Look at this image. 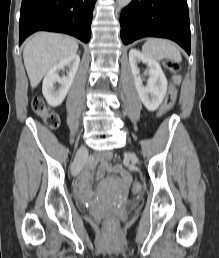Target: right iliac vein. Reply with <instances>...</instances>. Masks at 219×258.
Instances as JSON below:
<instances>
[{
  "mask_svg": "<svg viewBox=\"0 0 219 258\" xmlns=\"http://www.w3.org/2000/svg\"><path fill=\"white\" fill-rule=\"evenodd\" d=\"M87 154V149L85 146H81L76 154L75 160L72 164L71 171L73 175H76L83 165L85 164V157Z\"/></svg>",
  "mask_w": 219,
  "mask_h": 258,
  "instance_id": "63e3f726",
  "label": "right iliac vein"
}]
</instances>
